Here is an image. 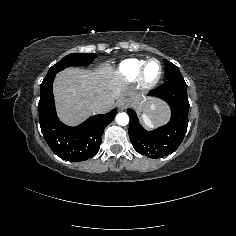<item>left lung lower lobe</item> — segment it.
<instances>
[{"instance_id": "0a47b994", "label": "left lung lower lobe", "mask_w": 236, "mask_h": 236, "mask_svg": "<svg viewBox=\"0 0 236 236\" xmlns=\"http://www.w3.org/2000/svg\"><path fill=\"white\" fill-rule=\"evenodd\" d=\"M149 94L165 100L170 105L172 111L170 122L148 132L140 125L135 111L128 109L130 116L128 132L131 143L138 153L157 159L173 153L185 136L189 111L187 84L184 79L167 80Z\"/></svg>"}]
</instances>
